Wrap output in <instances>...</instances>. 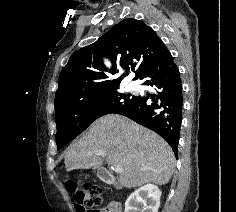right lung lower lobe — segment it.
Segmentation results:
<instances>
[{
  "label": "right lung lower lobe",
  "mask_w": 236,
  "mask_h": 212,
  "mask_svg": "<svg viewBox=\"0 0 236 212\" xmlns=\"http://www.w3.org/2000/svg\"><path fill=\"white\" fill-rule=\"evenodd\" d=\"M143 85L154 87L153 94L135 99L114 113L127 116L162 136L177 156L182 120V85L179 69L165 47L140 76Z\"/></svg>",
  "instance_id": "right-lung-lower-lobe-1"
}]
</instances>
